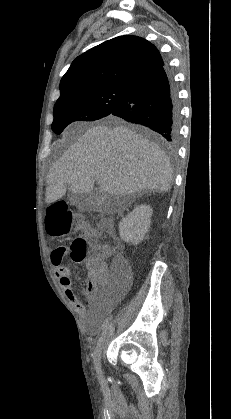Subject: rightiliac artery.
I'll use <instances>...</instances> for the list:
<instances>
[{
  "label": "right iliac artery",
  "mask_w": 231,
  "mask_h": 419,
  "mask_svg": "<svg viewBox=\"0 0 231 419\" xmlns=\"http://www.w3.org/2000/svg\"><path fill=\"white\" fill-rule=\"evenodd\" d=\"M108 327H109V321H108V319H106L104 324H103L102 336H104L107 333ZM102 336H101V338H102Z\"/></svg>",
  "instance_id": "right-iliac-artery-1"
}]
</instances>
